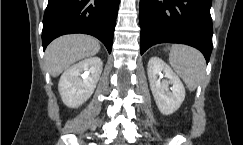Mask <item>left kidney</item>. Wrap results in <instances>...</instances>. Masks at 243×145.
Segmentation results:
<instances>
[{"label": "left kidney", "mask_w": 243, "mask_h": 145, "mask_svg": "<svg viewBox=\"0 0 243 145\" xmlns=\"http://www.w3.org/2000/svg\"><path fill=\"white\" fill-rule=\"evenodd\" d=\"M150 88L159 111L164 115L174 113L185 98V88L179 77L160 58L152 57L148 62ZM164 74L166 79L159 78ZM169 85L172 87L169 88Z\"/></svg>", "instance_id": "5707ae66"}]
</instances>
